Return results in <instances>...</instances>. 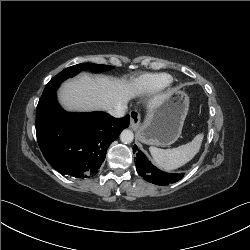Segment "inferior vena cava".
I'll return each mask as SVG.
<instances>
[{
	"mask_svg": "<svg viewBox=\"0 0 250 250\" xmlns=\"http://www.w3.org/2000/svg\"><path fill=\"white\" fill-rule=\"evenodd\" d=\"M126 110H127V106H119L115 109L109 110L108 113L113 117L120 118L125 115Z\"/></svg>",
	"mask_w": 250,
	"mask_h": 250,
	"instance_id": "inferior-vena-cava-1",
	"label": "inferior vena cava"
}]
</instances>
